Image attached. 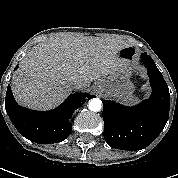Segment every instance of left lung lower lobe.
I'll use <instances>...</instances> for the list:
<instances>
[{"mask_svg": "<svg viewBox=\"0 0 178 178\" xmlns=\"http://www.w3.org/2000/svg\"><path fill=\"white\" fill-rule=\"evenodd\" d=\"M153 93L134 107L103 101L104 138L115 149L135 151L147 147L161 133L169 118L168 85L153 59L143 53Z\"/></svg>", "mask_w": 178, "mask_h": 178, "instance_id": "obj_1", "label": "left lung lower lobe"}]
</instances>
